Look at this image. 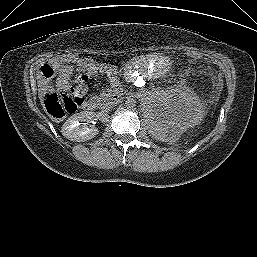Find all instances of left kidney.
Listing matches in <instances>:
<instances>
[{
  "label": "left kidney",
  "mask_w": 257,
  "mask_h": 257,
  "mask_svg": "<svg viewBox=\"0 0 257 257\" xmlns=\"http://www.w3.org/2000/svg\"><path fill=\"white\" fill-rule=\"evenodd\" d=\"M150 133L160 141L175 142L203 118L202 105L194 92L186 88L156 94L146 106Z\"/></svg>",
  "instance_id": "1"
}]
</instances>
